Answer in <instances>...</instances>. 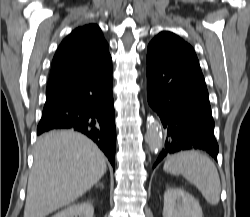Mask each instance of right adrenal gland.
<instances>
[{
	"instance_id": "obj_1",
	"label": "right adrenal gland",
	"mask_w": 250,
	"mask_h": 217,
	"mask_svg": "<svg viewBox=\"0 0 250 217\" xmlns=\"http://www.w3.org/2000/svg\"><path fill=\"white\" fill-rule=\"evenodd\" d=\"M99 186H100L101 188H104V185H103V183L99 184Z\"/></svg>"
}]
</instances>
